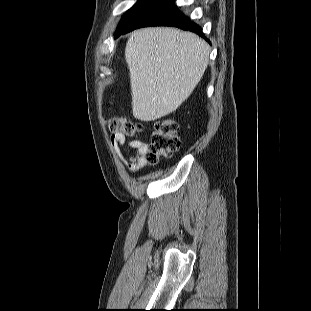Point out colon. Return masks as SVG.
Here are the masks:
<instances>
[{
    "label": "colon",
    "instance_id": "colon-1",
    "mask_svg": "<svg viewBox=\"0 0 311 311\" xmlns=\"http://www.w3.org/2000/svg\"><path fill=\"white\" fill-rule=\"evenodd\" d=\"M109 130L122 133L125 136H134L144 130V125L125 117L113 116L105 119ZM177 123L170 118L159 120L151 133L149 151L146 155V163L155 164L161 158H168L180 147V139L177 135Z\"/></svg>",
    "mask_w": 311,
    "mask_h": 311
}]
</instances>
